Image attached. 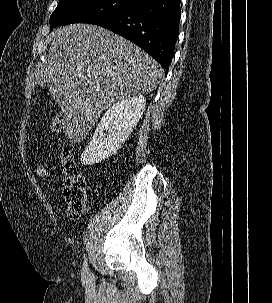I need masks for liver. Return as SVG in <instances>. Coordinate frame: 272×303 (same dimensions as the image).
Wrapping results in <instances>:
<instances>
[{
  "label": "liver",
  "instance_id": "1",
  "mask_svg": "<svg viewBox=\"0 0 272 303\" xmlns=\"http://www.w3.org/2000/svg\"><path fill=\"white\" fill-rule=\"evenodd\" d=\"M36 81L47 86L63 113L66 136L82 141L114 102L155 90L161 65L127 39L99 26L59 27Z\"/></svg>",
  "mask_w": 272,
  "mask_h": 303
}]
</instances>
